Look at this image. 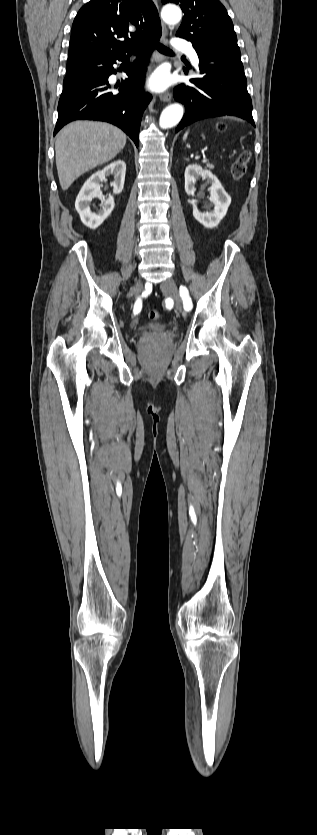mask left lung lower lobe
I'll return each mask as SVG.
<instances>
[{"mask_svg": "<svg viewBox=\"0 0 317 835\" xmlns=\"http://www.w3.org/2000/svg\"><path fill=\"white\" fill-rule=\"evenodd\" d=\"M193 47L199 57L198 76L190 80L193 86L181 83L174 89L175 100L186 110L175 131L204 118L224 115L240 117L255 127L240 52ZM184 73L187 75L188 70Z\"/></svg>", "mask_w": 317, "mask_h": 835, "instance_id": "left-lung-lower-lobe-1", "label": "left lung lower lobe"}]
</instances>
